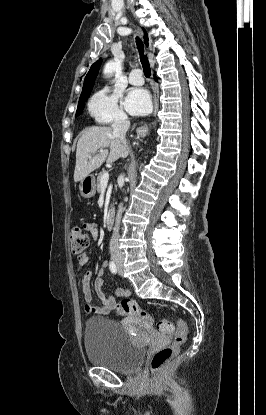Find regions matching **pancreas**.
I'll return each mask as SVG.
<instances>
[{"mask_svg": "<svg viewBox=\"0 0 266 415\" xmlns=\"http://www.w3.org/2000/svg\"><path fill=\"white\" fill-rule=\"evenodd\" d=\"M105 172L103 171V172H101V173H99V175H98V177H97V185H96V190H97V192L98 193H100L101 192V184H100V180H101V177H102V175L104 174Z\"/></svg>", "mask_w": 266, "mask_h": 415, "instance_id": "1", "label": "pancreas"}]
</instances>
